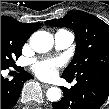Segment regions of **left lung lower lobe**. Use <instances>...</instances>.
Masks as SVG:
<instances>
[{
    "label": "left lung lower lobe",
    "instance_id": "1",
    "mask_svg": "<svg viewBox=\"0 0 109 109\" xmlns=\"http://www.w3.org/2000/svg\"><path fill=\"white\" fill-rule=\"evenodd\" d=\"M75 77L77 83L62 88L63 98L53 109H99L109 96V68L93 67Z\"/></svg>",
    "mask_w": 109,
    "mask_h": 109
}]
</instances>
